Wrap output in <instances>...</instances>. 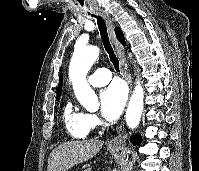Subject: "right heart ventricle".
I'll use <instances>...</instances> for the list:
<instances>
[{
    "instance_id": "right-heart-ventricle-1",
    "label": "right heart ventricle",
    "mask_w": 199,
    "mask_h": 171,
    "mask_svg": "<svg viewBox=\"0 0 199 171\" xmlns=\"http://www.w3.org/2000/svg\"><path fill=\"white\" fill-rule=\"evenodd\" d=\"M87 114L76 109L71 101H67L63 108V119L67 133L77 139L88 136L90 129L86 123Z\"/></svg>"
}]
</instances>
